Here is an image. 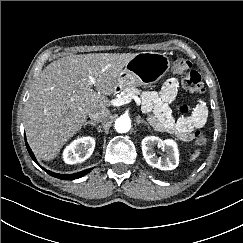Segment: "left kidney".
Instances as JSON below:
<instances>
[{
    "instance_id": "left-kidney-1",
    "label": "left kidney",
    "mask_w": 243,
    "mask_h": 243,
    "mask_svg": "<svg viewBox=\"0 0 243 243\" xmlns=\"http://www.w3.org/2000/svg\"><path fill=\"white\" fill-rule=\"evenodd\" d=\"M161 147L166 152V157H157L154 151L155 146ZM142 153L146 162L160 170H173L179 163V152L174 140H161L159 137L147 136L142 142Z\"/></svg>"
}]
</instances>
